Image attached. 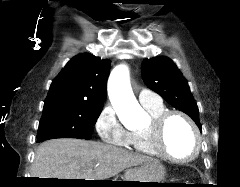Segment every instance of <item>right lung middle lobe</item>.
Listing matches in <instances>:
<instances>
[{
	"label": "right lung middle lobe",
	"instance_id": "right-lung-middle-lobe-1",
	"mask_svg": "<svg viewBox=\"0 0 240 187\" xmlns=\"http://www.w3.org/2000/svg\"><path fill=\"white\" fill-rule=\"evenodd\" d=\"M103 105L60 104L43 108L37 140L53 138L90 139Z\"/></svg>",
	"mask_w": 240,
	"mask_h": 187
}]
</instances>
